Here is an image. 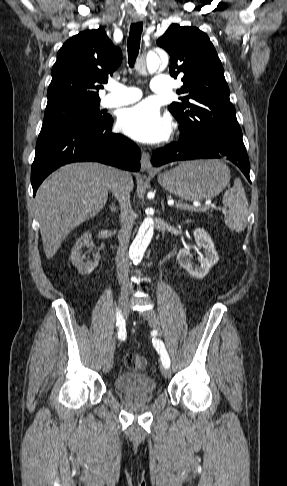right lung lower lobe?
<instances>
[{
  "instance_id": "1",
  "label": "right lung lower lobe",
  "mask_w": 287,
  "mask_h": 486,
  "mask_svg": "<svg viewBox=\"0 0 287 486\" xmlns=\"http://www.w3.org/2000/svg\"><path fill=\"white\" fill-rule=\"evenodd\" d=\"M113 118L106 115L98 124L39 135L31 169L33 195L42 181L62 165L97 161L125 170L140 169L138 146L112 130Z\"/></svg>"
}]
</instances>
